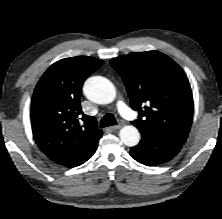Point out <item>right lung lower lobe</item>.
<instances>
[{
	"label": "right lung lower lobe",
	"mask_w": 222,
	"mask_h": 219,
	"mask_svg": "<svg viewBox=\"0 0 222 219\" xmlns=\"http://www.w3.org/2000/svg\"><path fill=\"white\" fill-rule=\"evenodd\" d=\"M97 146L91 151V153L84 159V161L81 163L83 164L84 162H86L96 151ZM80 164V165H81ZM79 166V165H78Z\"/></svg>",
	"instance_id": "1"
}]
</instances>
